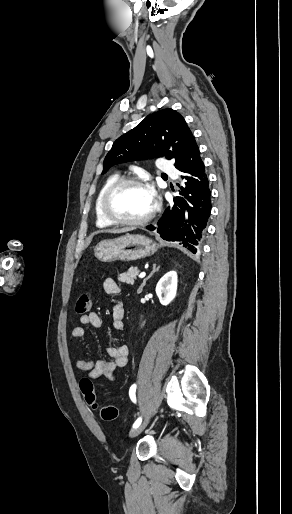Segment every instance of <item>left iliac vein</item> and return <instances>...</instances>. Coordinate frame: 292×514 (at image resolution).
I'll list each match as a JSON object with an SVG mask.
<instances>
[{"instance_id": "1", "label": "left iliac vein", "mask_w": 292, "mask_h": 514, "mask_svg": "<svg viewBox=\"0 0 292 514\" xmlns=\"http://www.w3.org/2000/svg\"><path fill=\"white\" fill-rule=\"evenodd\" d=\"M149 419H150V416H146L145 420L142 422V424H140L136 429H134L131 434H130V437L134 438L136 436H138L144 429L145 427L147 426L148 422H149Z\"/></svg>"}]
</instances>
